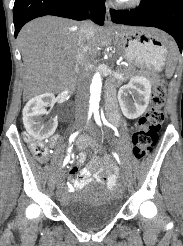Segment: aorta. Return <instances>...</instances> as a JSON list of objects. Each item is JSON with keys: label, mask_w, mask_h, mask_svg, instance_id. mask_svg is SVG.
Masks as SVG:
<instances>
[{"label": "aorta", "mask_w": 183, "mask_h": 246, "mask_svg": "<svg viewBox=\"0 0 183 246\" xmlns=\"http://www.w3.org/2000/svg\"><path fill=\"white\" fill-rule=\"evenodd\" d=\"M101 88L102 79L100 73L97 72L93 76L92 83L90 86V109L93 111L99 109Z\"/></svg>", "instance_id": "aorta-1"}]
</instances>
